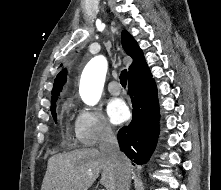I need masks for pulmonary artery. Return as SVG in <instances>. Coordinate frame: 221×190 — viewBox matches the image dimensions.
I'll list each match as a JSON object with an SVG mask.
<instances>
[{
	"label": "pulmonary artery",
	"instance_id": "pulmonary-artery-1",
	"mask_svg": "<svg viewBox=\"0 0 221 190\" xmlns=\"http://www.w3.org/2000/svg\"><path fill=\"white\" fill-rule=\"evenodd\" d=\"M108 90L113 95H119L121 93V86L118 82L112 81L108 84Z\"/></svg>",
	"mask_w": 221,
	"mask_h": 190
}]
</instances>
